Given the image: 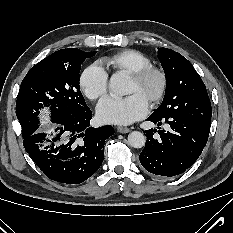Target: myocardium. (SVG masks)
<instances>
[{
  "label": "myocardium",
  "instance_id": "1",
  "mask_svg": "<svg viewBox=\"0 0 233 233\" xmlns=\"http://www.w3.org/2000/svg\"><path fill=\"white\" fill-rule=\"evenodd\" d=\"M150 76L157 77L158 89L148 103L149 105H156L162 101L167 92L168 77L166 72L162 68L150 65L132 73L131 79L137 83H142Z\"/></svg>",
  "mask_w": 233,
  "mask_h": 233
}]
</instances>
